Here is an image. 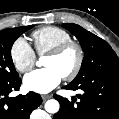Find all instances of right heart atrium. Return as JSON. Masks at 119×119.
Returning <instances> with one entry per match:
<instances>
[{
  "label": "right heart atrium",
  "instance_id": "right-heart-atrium-1",
  "mask_svg": "<svg viewBox=\"0 0 119 119\" xmlns=\"http://www.w3.org/2000/svg\"><path fill=\"white\" fill-rule=\"evenodd\" d=\"M10 58L18 72L26 73L34 66L36 54L26 38L19 37L11 46Z\"/></svg>",
  "mask_w": 119,
  "mask_h": 119
}]
</instances>
